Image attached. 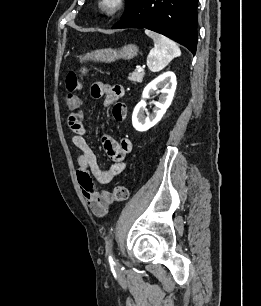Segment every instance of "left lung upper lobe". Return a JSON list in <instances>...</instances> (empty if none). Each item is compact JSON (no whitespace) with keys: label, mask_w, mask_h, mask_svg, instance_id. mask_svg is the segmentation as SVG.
Listing matches in <instances>:
<instances>
[{"label":"left lung upper lobe","mask_w":261,"mask_h":306,"mask_svg":"<svg viewBox=\"0 0 261 306\" xmlns=\"http://www.w3.org/2000/svg\"><path fill=\"white\" fill-rule=\"evenodd\" d=\"M137 0H126L127 5H126V11L125 14L134 6ZM124 14V15H125Z\"/></svg>","instance_id":"1"}]
</instances>
